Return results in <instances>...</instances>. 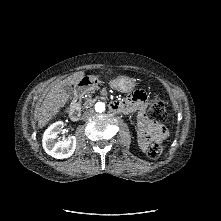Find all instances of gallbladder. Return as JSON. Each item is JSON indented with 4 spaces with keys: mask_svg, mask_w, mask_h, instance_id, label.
Segmentation results:
<instances>
[{
    "mask_svg": "<svg viewBox=\"0 0 221 221\" xmlns=\"http://www.w3.org/2000/svg\"><path fill=\"white\" fill-rule=\"evenodd\" d=\"M64 90L66 91V93H67L69 96H72V94H73V89H72L71 86H69V85L64 86Z\"/></svg>",
    "mask_w": 221,
    "mask_h": 221,
    "instance_id": "gallbladder-1",
    "label": "gallbladder"
}]
</instances>
